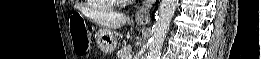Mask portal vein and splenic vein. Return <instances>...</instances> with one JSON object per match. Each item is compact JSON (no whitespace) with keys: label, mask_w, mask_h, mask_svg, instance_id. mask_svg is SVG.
Returning <instances> with one entry per match:
<instances>
[{"label":"portal vein and splenic vein","mask_w":261,"mask_h":59,"mask_svg":"<svg viewBox=\"0 0 261 59\" xmlns=\"http://www.w3.org/2000/svg\"><path fill=\"white\" fill-rule=\"evenodd\" d=\"M126 59H131V55L127 56Z\"/></svg>","instance_id":"obj_1"}]
</instances>
